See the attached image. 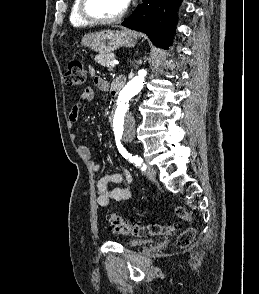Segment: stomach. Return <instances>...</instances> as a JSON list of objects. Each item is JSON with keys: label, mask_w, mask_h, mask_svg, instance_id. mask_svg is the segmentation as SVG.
<instances>
[{"label": "stomach", "mask_w": 259, "mask_h": 294, "mask_svg": "<svg viewBox=\"0 0 259 294\" xmlns=\"http://www.w3.org/2000/svg\"><path fill=\"white\" fill-rule=\"evenodd\" d=\"M136 36L129 31L104 30L88 33L82 38V44L100 54H108L120 47H134Z\"/></svg>", "instance_id": "1"}]
</instances>
